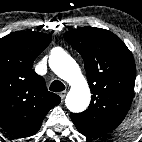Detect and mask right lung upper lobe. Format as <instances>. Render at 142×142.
Segmentation results:
<instances>
[{
	"mask_svg": "<svg viewBox=\"0 0 142 142\" xmlns=\"http://www.w3.org/2000/svg\"><path fill=\"white\" fill-rule=\"evenodd\" d=\"M51 39L24 31L0 39V126L15 139L37 133L47 112L61 101L32 70Z\"/></svg>",
	"mask_w": 142,
	"mask_h": 142,
	"instance_id": "1",
	"label": "right lung upper lobe"
}]
</instances>
